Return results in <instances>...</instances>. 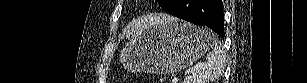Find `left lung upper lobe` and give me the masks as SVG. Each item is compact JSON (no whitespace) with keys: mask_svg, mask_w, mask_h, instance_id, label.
Returning a JSON list of instances; mask_svg holds the SVG:
<instances>
[{"mask_svg":"<svg viewBox=\"0 0 307 83\" xmlns=\"http://www.w3.org/2000/svg\"><path fill=\"white\" fill-rule=\"evenodd\" d=\"M156 1L158 2L160 7L164 11H168V9L172 6V4L174 3L175 0H156Z\"/></svg>","mask_w":307,"mask_h":83,"instance_id":"left-lung-upper-lobe-1","label":"left lung upper lobe"}]
</instances>
